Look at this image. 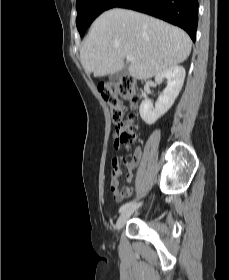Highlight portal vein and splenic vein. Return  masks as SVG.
Returning a JSON list of instances; mask_svg holds the SVG:
<instances>
[{"instance_id":"portal-vein-and-splenic-vein-1","label":"portal vein and splenic vein","mask_w":229,"mask_h":280,"mask_svg":"<svg viewBox=\"0 0 229 280\" xmlns=\"http://www.w3.org/2000/svg\"><path fill=\"white\" fill-rule=\"evenodd\" d=\"M126 60H127L128 62H133V61H134V57L128 55V56H126Z\"/></svg>"}]
</instances>
